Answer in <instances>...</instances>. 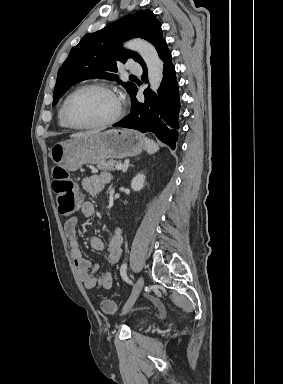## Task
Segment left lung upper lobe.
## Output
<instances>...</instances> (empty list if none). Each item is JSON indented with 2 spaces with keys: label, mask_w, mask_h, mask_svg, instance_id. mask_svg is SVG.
Returning <instances> with one entry per match:
<instances>
[{
  "label": "left lung upper lobe",
  "mask_w": 283,
  "mask_h": 384,
  "mask_svg": "<svg viewBox=\"0 0 283 384\" xmlns=\"http://www.w3.org/2000/svg\"><path fill=\"white\" fill-rule=\"evenodd\" d=\"M144 38L151 42L157 52L166 42L163 39L161 23L150 10H141L125 16L95 33L86 34L70 51L68 58L58 71L54 89L55 105L58 99L74 84L89 78H106L117 80L115 74L117 62L125 63L134 59L143 67L145 63L140 55L121 47V42L131 38ZM122 84L130 96L136 90L132 82Z\"/></svg>",
  "instance_id": "obj_1"
}]
</instances>
